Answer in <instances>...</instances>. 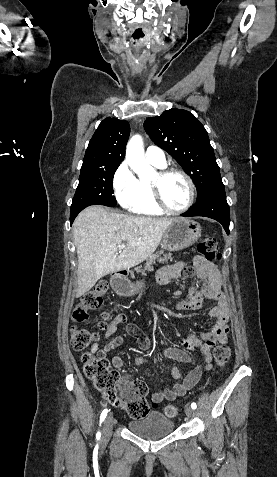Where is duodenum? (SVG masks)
Instances as JSON below:
<instances>
[{"instance_id": "410a0bca", "label": "duodenum", "mask_w": 277, "mask_h": 477, "mask_svg": "<svg viewBox=\"0 0 277 477\" xmlns=\"http://www.w3.org/2000/svg\"><path fill=\"white\" fill-rule=\"evenodd\" d=\"M127 275V272L125 270H120L115 273V279H121ZM120 285V284H119Z\"/></svg>"}]
</instances>
